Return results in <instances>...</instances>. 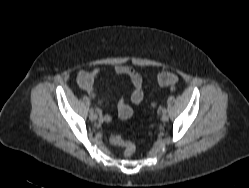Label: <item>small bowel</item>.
Masks as SVG:
<instances>
[{"mask_svg": "<svg viewBox=\"0 0 249 188\" xmlns=\"http://www.w3.org/2000/svg\"><path fill=\"white\" fill-rule=\"evenodd\" d=\"M114 73L119 76H127L133 85V89L130 94V99L134 107L139 106L144 99L143 91V77L130 66H115ZM103 69L96 68L92 71H82L78 76L79 86L85 90L90 98L93 100L97 107V112L99 115V120L101 122H110L112 116L110 114L104 113L102 110V101L97 97V93L94 87L95 79L99 74H101ZM118 114L122 119H128L132 116L134 108L128 105L124 99L118 101Z\"/></svg>", "mask_w": 249, "mask_h": 188, "instance_id": "small-bowel-1", "label": "small bowel"}]
</instances>
